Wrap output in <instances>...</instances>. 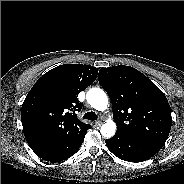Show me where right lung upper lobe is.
Masks as SVG:
<instances>
[{
  "label": "right lung upper lobe",
  "instance_id": "cb5924a9",
  "mask_svg": "<svg viewBox=\"0 0 184 184\" xmlns=\"http://www.w3.org/2000/svg\"><path fill=\"white\" fill-rule=\"evenodd\" d=\"M98 69L64 64L45 73L27 94L21 109L25 138L33 151L78 139L90 129L78 120V94L92 84Z\"/></svg>",
  "mask_w": 184,
  "mask_h": 184
}]
</instances>
